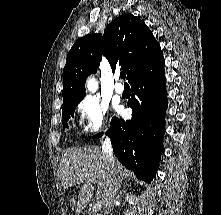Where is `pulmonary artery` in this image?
<instances>
[{
    "instance_id": "obj_1",
    "label": "pulmonary artery",
    "mask_w": 221,
    "mask_h": 215,
    "mask_svg": "<svg viewBox=\"0 0 221 215\" xmlns=\"http://www.w3.org/2000/svg\"><path fill=\"white\" fill-rule=\"evenodd\" d=\"M116 83L114 85V89L117 93L122 94L124 91V86L123 84L119 81V75H116Z\"/></svg>"
}]
</instances>
